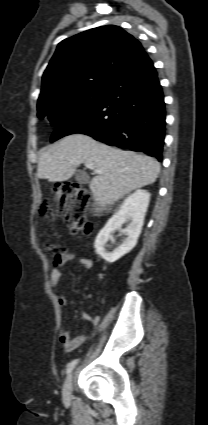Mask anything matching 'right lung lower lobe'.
Wrapping results in <instances>:
<instances>
[{
  "instance_id": "98d812e1",
  "label": "right lung lower lobe",
  "mask_w": 208,
  "mask_h": 425,
  "mask_svg": "<svg viewBox=\"0 0 208 425\" xmlns=\"http://www.w3.org/2000/svg\"><path fill=\"white\" fill-rule=\"evenodd\" d=\"M74 133L162 160L165 103L148 55L118 75L96 105L58 122L51 142Z\"/></svg>"
}]
</instances>
